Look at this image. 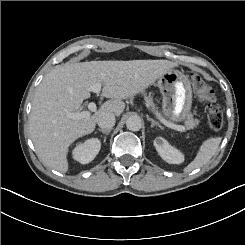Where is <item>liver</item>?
Listing matches in <instances>:
<instances>
[{
	"instance_id": "liver-1",
	"label": "liver",
	"mask_w": 245,
	"mask_h": 245,
	"mask_svg": "<svg viewBox=\"0 0 245 245\" xmlns=\"http://www.w3.org/2000/svg\"><path fill=\"white\" fill-rule=\"evenodd\" d=\"M176 66L168 60L90 61L66 63L51 70L34 95L29 129L38 157L43 164L61 173L68 170L69 146L94 131L102 112L119 116L122 101L144 92L162 74ZM101 83L102 96L111 98L87 118L73 120L67 113L78 112L88 87Z\"/></svg>"
}]
</instances>
